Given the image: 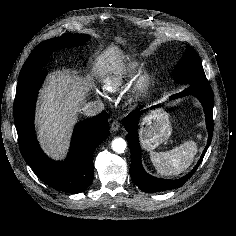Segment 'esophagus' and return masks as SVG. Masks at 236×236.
I'll return each instance as SVG.
<instances>
[{
	"label": "esophagus",
	"instance_id": "1",
	"mask_svg": "<svg viewBox=\"0 0 236 236\" xmlns=\"http://www.w3.org/2000/svg\"><path fill=\"white\" fill-rule=\"evenodd\" d=\"M119 127H120V123L117 120H114L110 125V128L112 131H117Z\"/></svg>",
	"mask_w": 236,
	"mask_h": 236
}]
</instances>
